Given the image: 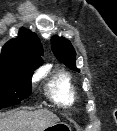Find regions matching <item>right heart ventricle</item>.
<instances>
[{
	"mask_svg": "<svg viewBox=\"0 0 117 131\" xmlns=\"http://www.w3.org/2000/svg\"><path fill=\"white\" fill-rule=\"evenodd\" d=\"M50 97L57 103L62 105H70L77 98V91L71 76L59 71L55 73L47 84Z\"/></svg>",
	"mask_w": 117,
	"mask_h": 131,
	"instance_id": "e07e8e85",
	"label": "right heart ventricle"
}]
</instances>
